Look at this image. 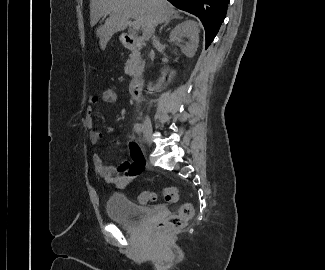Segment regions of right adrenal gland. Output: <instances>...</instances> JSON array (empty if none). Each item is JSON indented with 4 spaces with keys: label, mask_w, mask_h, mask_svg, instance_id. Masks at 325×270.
Here are the masks:
<instances>
[{
    "label": "right adrenal gland",
    "mask_w": 325,
    "mask_h": 270,
    "mask_svg": "<svg viewBox=\"0 0 325 270\" xmlns=\"http://www.w3.org/2000/svg\"><path fill=\"white\" fill-rule=\"evenodd\" d=\"M175 18H176V19H180L181 17H180L179 15L175 14L172 18H170L169 20L165 21V23L160 27L159 32L161 33L163 27H165L166 25H168V24L170 23V21H171L172 19H175Z\"/></svg>",
    "instance_id": "2a0ac1e0"
}]
</instances>
